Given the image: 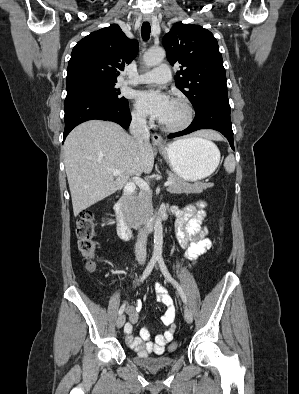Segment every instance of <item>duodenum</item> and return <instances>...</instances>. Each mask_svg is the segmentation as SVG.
<instances>
[{
	"label": "duodenum",
	"instance_id": "duodenum-1",
	"mask_svg": "<svg viewBox=\"0 0 299 394\" xmlns=\"http://www.w3.org/2000/svg\"><path fill=\"white\" fill-rule=\"evenodd\" d=\"M135 192V184L128 183L124 189L121 197L114 204V209L118 218V234L122 239H127L133 233V226L130 223L129 214L127 211V202L129 197ZM167 218L166 211H160L158 215L148 221L144 227L143 232H151L157 220H164Z\"/></svg>",
	"mask_w": 299,
	"mask_h": 394
}]
</instances>
